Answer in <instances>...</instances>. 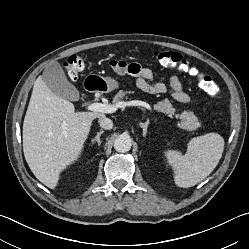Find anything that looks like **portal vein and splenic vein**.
<instances>
[{"mask_svg": "<svg viewBox=\"0 0 249 249\" xmlns=\"http://www.w3.org/2000/svg\"><path fill=\"white\" fill-rule=\"evenodd\" d=\"M127 106H141L150 111H152L151 106L143 101L139 100H132L128 102H120L116 105H109V104H102V103H92L88 105V110L95 111V112H102V113H114L118 108H125Z\"/></svg>", "mask_w": 249, "mask_h": 249, "instance_id": "18ae733b", "label": "portal vein and splenic vein"}]
</instances>
